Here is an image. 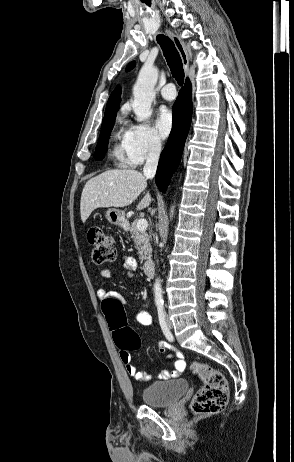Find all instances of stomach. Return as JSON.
I'll return each mask as SVG.
<instances>
[{
  "mask_svg": "<svg viewBox=\"0 0 294 462\" xmlns=\"http://www.w3.org/2000/svg\"><path fill=\"white\" fill-rule=\"evenodd\" d=\"M106 218L107 220L114 225L120 226V227H127V220L125 218V212L119 209H108L106 212Z\"/></svg>",
  "mask_w": 294,
  "mask_h": 462,
  "instance_id": "0dacf381",
  "label": "stomach"
}]
</instances>
